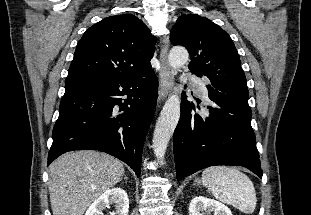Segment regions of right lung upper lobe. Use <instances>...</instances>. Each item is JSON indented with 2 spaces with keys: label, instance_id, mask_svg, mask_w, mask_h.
Segmentation results:
<instances>
[{
  "label": "right lung upper lobe",
  "instance_id": "cb5924a9",
  "mask_svg": "<svg viewBox=\"0 0 311 215\" xmlns=\"http://www.w3.org/2000/svg\"><path fill=\"white\" fill-rule=\"evenodd\" d=\"M156 38L135 15L107 17L79 40L66 82L90 78L131 79L152 72Z\"/></svg>",
  "mask_w": 311,
  "mask_h": 215
}]
</instances>
